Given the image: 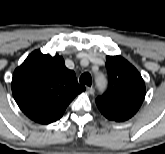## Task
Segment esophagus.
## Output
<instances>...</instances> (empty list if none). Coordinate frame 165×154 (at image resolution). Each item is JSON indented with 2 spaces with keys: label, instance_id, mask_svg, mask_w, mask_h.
I'll return each mask as SVG.
<instances>
[{
  "label": "esophagus",
  "instance_id": "obj_1",
  "mask_svg": "<svg viewBox=\"0 0 165 154\" xmlns=\"http://www.w3.org/2000/svg\"><path fill=\"white\" fill-rule=\"evenodd\" d=\"M86 90H87V92H88L90 95H93L94 92H95V90H94L93 87H87Z\"/></svg>",
  "mask_w": 165,
  "mask_h": 154
}]
</instances>
